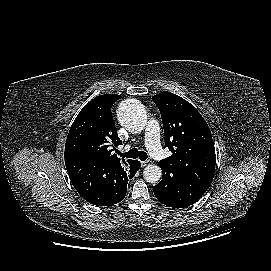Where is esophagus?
<instances>
[{
  "label": "esophagus",
  "instance_id": "esophagus-1",
  "mask_svg": "<svg viewBox=\"0 0 271 271\" xmlns=\"http://www.w3.org/2000/svg\"><path fill=\"white\" fill-rule=\"evenodd\" d=\"M151 164V161L150 160H147V161H143L141 162V167H145V166H148Z\"/></svg>",
  "mask_w": 271,
  "mask_h": 271
}]
</instances>
